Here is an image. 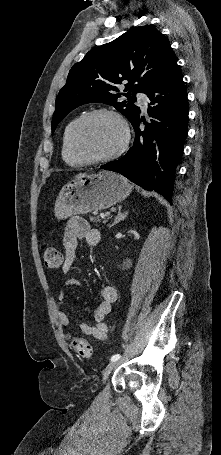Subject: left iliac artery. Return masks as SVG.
<instances>
[{
  "instance_id": "1",
  "label": "left iliac artery",
  "mask_w": 221,
  "mask_h": 455,
  "mask_svg": "<svg viewBox=\"0 0 221 455\" xmlns=\"http://www.w3.org/2000/svg\"><path fill=\"white\" fill-rule=\"evenodd\" d=\"M121 355L120 354H115L111 357V361H117L118 359H120Z\"/></svg>"
}]
</instances>
